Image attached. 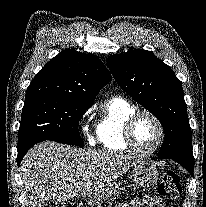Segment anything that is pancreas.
Returning <instances> with one entry per match:
<instances>
[{
  "label": "pancreas",
  "mask_w": 206,
  "mask_h": 207,
  "mask_svg": "<svg viewBox=\"0 0 206 207\" xmlns=\"http://www.w3.org/2000/svg\"><path fill=\"white\" fill-rule=\"evenodd\" d=\"M115 207H130L128 204H119V205H117V206H115Z\"/></svg>",
  "instance_id": "obj_1"
}]
</instances>
